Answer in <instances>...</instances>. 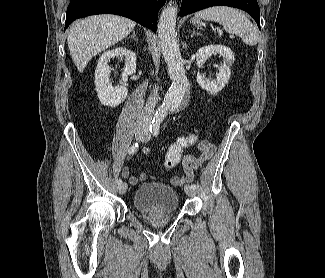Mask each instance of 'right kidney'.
<instances>
[{
	"instance_id": "obj_1",
	"label": "right kidney",
	"mask_w": 325,
	"mask_h": 278,
	"mask_svg": "<svg viewBox=\"0 0 325 278\" xmlns=\"http://www.w3.org/2000/svg\"><path fill=\"white\" fill-rule=\"evenodd\" d=\"M115 57L125 58V67L122 72L123 86L113 87L109 80L111 68L108 65L110 59ZM136 71V55L133 51L126 47H117L112 50L104 52L99 58L96 70H95V85L98 98L100 102L105 106L116 107L127 96L128 89L126 82L128 76L132 75Z\"/></svg>"
}]
</instances>
